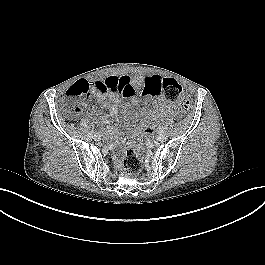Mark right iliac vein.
I'll return each mask as SVG.
<instances>
[{
    "label": "right iliac vein",
    "instance_id": "right-iliac-vein-1",
    "mask_svg": "<svg viewBox=\"0 0 265 265\" xmlns=\"http://www.w3.org/2000/svg\"><path fill=\"white\" fill-rule=\"evenodd\" d=\"M94 139L96 141H100L101 140V136L99 134H96V135H94Z\"/></svg>",
    "mask_w": 265,
    "mask_h": 265
}]
</instances>
